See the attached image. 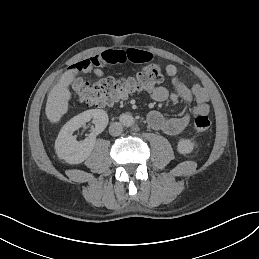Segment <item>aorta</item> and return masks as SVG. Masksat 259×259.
Masks as SVG:
<instances>
[{
	"mask_svg": "<svg viewBox=\"0 0 259 259\" xmlns=\"http://www.w3.org/2000/svg\"><path fill=\"white\" fill-rule=\"evenodd\" d=\"M121 122L125 127H130L134 124V118L131 115L125 114L121 117Z\"/></svg>",
	"mask_w": 259,
	"mask_h": 259,
	"instance_id": "aorta-1",
	"label": "aorta"
}]
</instances>
